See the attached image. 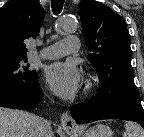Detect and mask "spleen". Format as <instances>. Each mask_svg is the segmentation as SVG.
I'll return each mask as SVG.
<instances>
[{
	"instance_id": "spleen-1",
	"label": "spleen",
	"mask_w": 144,
	"mask_h": 137,
	"mask_svg": "<svg viewBox=\"0 0 144 137\" xmlns=\"http://www.w3.org/2000/svg\"><path fill=\"white\" fill-rule=\"evenodd\" d=\"M123 137H144V131L140 126L129 121L125 123V132Z\"/></svg>"
}]
</instances>
